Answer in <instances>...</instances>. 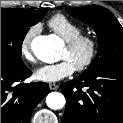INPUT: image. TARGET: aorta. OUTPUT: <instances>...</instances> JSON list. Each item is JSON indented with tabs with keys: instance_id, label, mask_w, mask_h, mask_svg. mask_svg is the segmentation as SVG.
Here are the masks:
<instances>
[{
	"instance_id": "aorta-1",
	"label": "aorta",
	"mask_w": 123,
	"mask_h": 123,
	"mask_svg": "<svg viewBox=\"0 0 123 123\" xmlns=\"http://www.w3.org/2000/svg\"><path fill=\"white\" fill-rule=\"evenodd\" d=\"M57 38L51 35H40L31 42V49L34 55L43 62L53 63L57 60L59 50ZM65 97L62 93L51 92L46 97V104L50 109L58 110L64 107Z\"/></svg>"
}]
</instances>
